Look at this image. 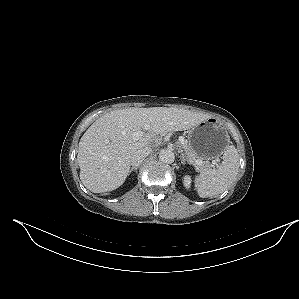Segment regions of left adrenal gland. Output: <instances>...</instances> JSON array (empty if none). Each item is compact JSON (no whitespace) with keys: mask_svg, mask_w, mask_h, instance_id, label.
Listing matches in <instances>:
<instances>
[{"mask_svg":"<svg viewBox=\"0 0 299 299\" xmlns=\"http://www.w3.org/2000/svg\"><path fill=\"white\" fill-rule=\"evenodd\" d=\"M180 158H181V163H182V165H185L186 162H187L188 164H191V163L189 162V160L185 157V155H184L183 153H181Z\"/></svg>","mask_w":299,"mask_h":299,"instance_id":"1","label":"left adrenal gland"}]
</instances>
